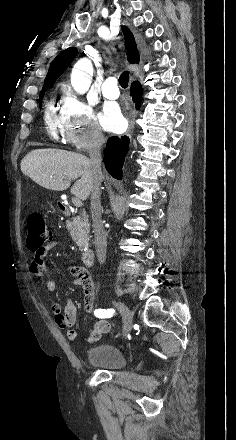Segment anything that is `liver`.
<instances>
[{
	"mask_svg": "<svg viewBox=\"0 0 236 440\" xmlns=\"http://www.w3.org/2000/svg\"><path fill=\"white\" fill-rule=\"evenodd\" d=\"M21 171L41 187L54 191H64L73 180L80 178L71 193L83 201L89 197L93 186L90 160L80 153L36 149L22 159Z\"/></svg>",
	"mask_w": 236,
	"mask_h": 440,
	"instance_id": "1",
	"label": "liver"
}]
</instances>
